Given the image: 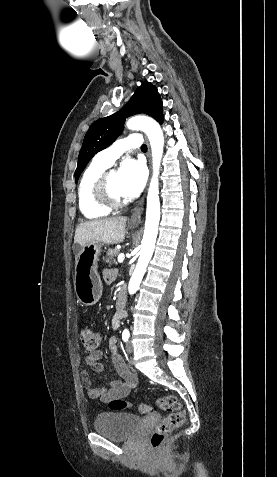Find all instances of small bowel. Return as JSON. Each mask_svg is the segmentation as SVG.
Returning <instances> with one entry per match:
<instances>
[{"instance_id": "1", "label": "small bowel", "mask_w": 277, "mask_h": 477, "mask_svg": "<svg viewBox=\"0 0 277 477\" xmlns=\"http://www.w3.org/2000/svg\"><path fill=\"white\" fill-rule=\"evenodd\" d=\"M106 282H112L115 278V271L105 270L103 273ZM123 318L122 314H116L111 322L113 329H118ZM109 349L111 351L112 362L115 370L121 377V380H113L110 383L109 389L105 387H95L92 385L91 379L86 371L82 372V382L84 387L92 399L100 400L101 402H111L114 399H123L135 388L137 384V377L133 374L123 361V358L117 350V338L112 336L109 340ZM104 353L97 350L92 355H87L85 358L86 365L94 372H102L103 364L100 362Z\"/></svg>"}]
</instances>
